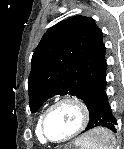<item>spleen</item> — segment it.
Instances as JSON below:
<instances>
[{
  "instance_id": "obj_1",
  "label": "spleen",
  "mask_w": 124,
  "mask_h": 149,
  "mask_svg": "<svg viewBox=\"0 0 124 149\" xmlns=\"http://www.w3.org/2000/svg\"><path fill=\"white\" fill-rule=\"evenodd\" d=\"M114 140V137L107 130L99 128L96 136L83 142V149H113L110 141L113 143Z\"/></svg>"
}]
</instances>
